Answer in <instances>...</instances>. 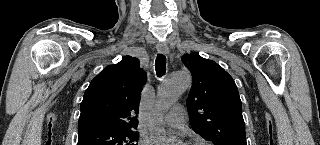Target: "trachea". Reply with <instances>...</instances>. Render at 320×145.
<instances>
[{"label":"trachea","mask_w":320,"mask_h":145,"mask_svg":"<svg viewBox=\"0 0 320 145\" xmlns=\"http://www.w3.org/2000/svg\"><path fill=\"white\" fill-rule=\"evenodd\" d=\"M155 69L158 77H161L166 72V57L163 54H158L155 61Z\"/></svg>","instance_id":"obj_1"}]
</instances>
